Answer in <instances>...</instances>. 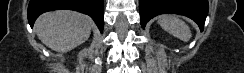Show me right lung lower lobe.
Masks as SVG:
<instances>
[{
	"label": "right lung lower lobe",
	"instance_id": "obj_1",
	"mask_svg": "<svg viewBox=\"0 0 244 73\" xmlns=\"http://www.w3.org/2000/svg\"><path fill=\"white\" fill-rule=\"evenodd\" d=\"M57 9H69L87 14L103 32L104 0H30L28 6L30 26L33 27L35 20L43 12Z\"/></svg>",
	"mask_w": 244,
	"mask_h": 73
}]
</instances>
